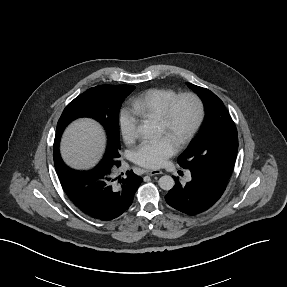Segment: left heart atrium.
Segmentation results:
<instances>
[{
    "label": "left heart atrium",
    "instance_id": "39dd6f15",
    "mask_svg": "<svg viewBox=\"0 0 287 287\" xmlns=\"http://www.w3.org/2000/svg\"><path fill=\"white\" fill-rule=\"evenodd\" d=\"M177 151V145L168 137L142 142L134 151V161L146 168L156 169L166 163Z\"/></svg>",
    "mask_w": 287,
    "mask_h": 287
}]
</instances>
